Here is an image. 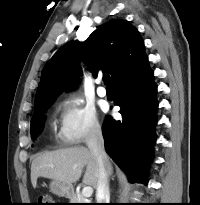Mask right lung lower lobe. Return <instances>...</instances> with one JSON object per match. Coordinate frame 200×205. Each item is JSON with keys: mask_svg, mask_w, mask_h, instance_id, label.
I'll use <instances>...</instances> for the list:
<instances>
[{"mask_svg": "<svg viewBox=\"0 0 200 205\" xmlns=\"http://www.w3.org/2000/svg\"><path fill=\"white\" fill-rule=\"evenodd\" d=\"M148 59L114 84V103L122 121L107 116L102 131L105 150L127 174L130 182L145 180L147 162L155 143L157 86Z\"/></svg>", "mask_w": 200, "mask_h": 205, "instance_id": "1", "label": "right lung lower lobe"}]
</instances>
